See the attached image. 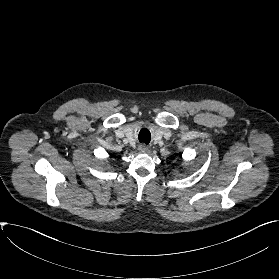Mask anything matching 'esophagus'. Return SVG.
Returning a JSON list of instances; mask_svg holds the SVG:
<instances>
[{"label":"esophagus","instance_id":"34e87169","mask_svg":"<svg viewBox=\"0 0 279 279\" xmlns=\"http://www.w3.org/2000/svg\"><path fill=\"white\" fill-rule=\"evenodd\" d=\"M139 150L144 153L148 150V147H146L145 145H141Z\"/></svg>","mask_w":279,"mask_h":279}]
</instances>
